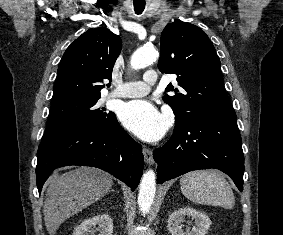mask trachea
I'll use <instances>...</instances> for the list:
<instances>
[{"instance_id":"trachea-1","label":"trachea","mask_w":283,"mask_h":235,"mask_svg":"<svg viewBox=\"0 0 283 235\" xmlns=\"http://www.w3.org/2000/svg\"><path fill=\"white\" fill-rule=\"evenodd\" d=\"M145 3L134 2V10L136 14H141L144 11Z\"/></svg>"}]
</instances>
